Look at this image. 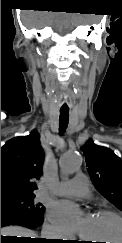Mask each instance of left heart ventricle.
<instances>
[{"label":"left heart ventricle","instance_id":"b2bd125f","mask_svg":"<svg viewBox=\"0 0 122 243\" xmlns=\"http://www.w3.org/2000/svg\"><path fill=\"white\" fill-rule=\"evenodd\" d=\"M82 236L87 243L105 241V243H120L122 241V225L112 216L93 215L82 231Z\"/></svg>","mask_w":122,"mask_h":243}]
</instances>
